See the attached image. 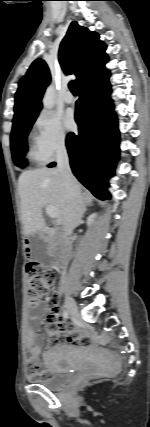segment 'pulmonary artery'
Returning <instances> with one entry per match:
<instances>
[{
	"mask_svg": "<svg viewBox=\"0 0 150 427\" xmlns=\"http://www.w3.org/2000/svg\"><path fill=\"white\" fill-rule=\"evenodd\" d=\"M63 100L67 104H71L74 102V97L70 92H66L63 96Z\"/></svg>",
	"mask_w": 150,
	"mask_h": 427,
	"instance_id": "e3ab8cb5",
	"label": "pulmonary artery"
}]
</instances>
